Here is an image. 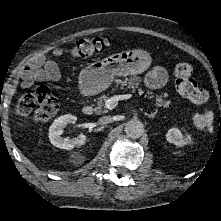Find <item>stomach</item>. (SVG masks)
Instances as JSON below:
<instances>
[{"instance_id": "1", "label": "stomach", "mask_w": 221, "mask_h": 221, "mask_svg": "<svg viewBox=\"0 0 221 221\" xmlns=\"http://www.w3.org/2000/svg\"><path fill=\"white\" fill-rule=\"evenodd\" d=\"M152 63L149 53L140 49L122 51L95 61L79 74V88L86 95H95L107 89L115 76L137 75Z\"/></svg>"}]
</instances>
